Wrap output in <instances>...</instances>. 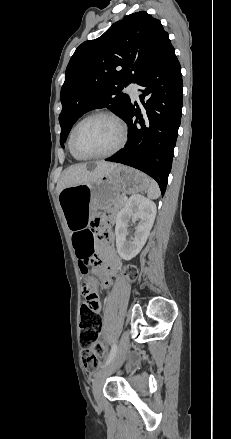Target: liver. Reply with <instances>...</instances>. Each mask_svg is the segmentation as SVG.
<instances>
[{
	"label": "liver",
	"mask_w": 231,
	"mask_h": 439,
	"mask_svg": "<svg viewBox=\"0 0 231 439\" xmlns=\"http://www.w3.org/2000/svg\"><path fill=\"white\" fill-rule=\"evenodd\" d=\"M117 166L116 163L103 161L96 162V166L93 170H88L87 164L71 165L63 172L57 184V192L59 194L67 187L92 182L109 173Z\"/></svg>",
	"instance_id": "6515ba94"
}]
</instances>
